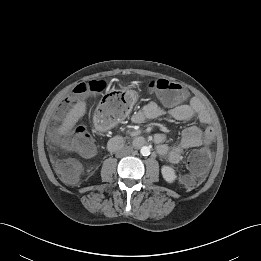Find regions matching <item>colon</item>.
<instances>
[{"label": "colon", "instance_id": "5ec220e1", "mask_svg": "<svg viewBox=\"0 0 261 261\" xmlns=\"http://www.w3.org/2000/svg\"><path fill=\"white\" fill-rule=\"evenodd\" d=\"M150 91L157 93L161 101L167 105L180 103L186 99L184 88L177 83L166 79H154L148 82ZM88 92L103 93L101 122L105 126L117 123L127 115L131 108L130 100L119 91L105 92L102 81H89L77 84L73 93L83 95ZM62 147L69 151L78 152L85 156L94 154L96 147L90 131L79 126L73 132L61 138ZM210 165V154L206 150L192 152L188 159V168L191 174L184 175L182 182L188 186L194 184L193 176H201ZM55 170L61 178L69 184L75 183L82 171L81 163L72 157H64L55 161Z\"/></svg>", "mask_w": 261, "mask_h": 261}]
</instances>
